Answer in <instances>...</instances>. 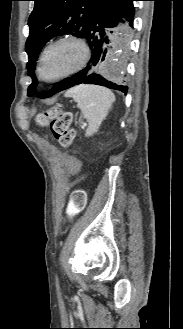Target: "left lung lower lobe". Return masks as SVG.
I'll use <instances>...</instances> for the list:
<instances>
[{"label": "left lung lower lobe", "instance_id": "left-lung-lower-lobe-1", "mask_svg": "<svg viewBox=\"0 0 183 329\" xmlns=\"http://www.w3.org/2000/svg\"><path fill=\"white\" fill-rule=\"evenodd\" d=\"M134 1L137 0H110L98 11L84 37L92 52L87 67L59 82L46 94L41 95L42 98L79 84H96L127 93L128 87L126 85L105 79L97 72V69L110 50L109 38L112 31H109V28L115 27L118 21H123L122 19H126L129 25L133 26Z\"/></svg>", "mask_w": 183, "mask_h": 329}]
</instances>
